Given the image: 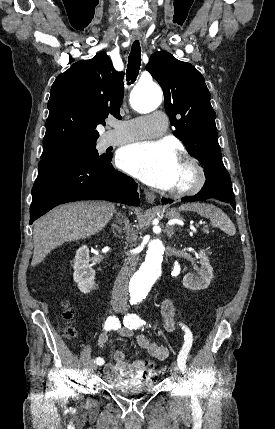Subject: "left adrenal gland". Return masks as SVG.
<instances>
[{
    "label": "left adrenal gland",
    "mask_w": 275,
    "mask_h": 429,
    "mask_svg": "<svg viewBox=\"0 0 275 429\" xmlns=\"http://www.w3.org/2000/svg\"><path fill=\"white\" fill-rule=\"evenodd\" d=\"M176 230H177V229H176V228H174V227H169V226H167V227H166L167 236H168L169 238H172Z\"/></svg>",
    "instance_id": "left-adrenal-gland-1"
}]
</instances>
